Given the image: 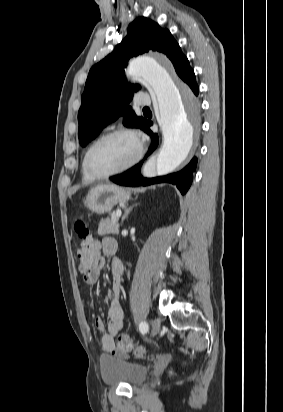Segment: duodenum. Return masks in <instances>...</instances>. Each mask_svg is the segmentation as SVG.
Returning <instances> with one entry per match:
<instances>
[{
  "instance_id": "1",
  "label": "duodenum",
  "mask_w": 283,
  "mask_h": 412,
  "mask_svg": "<svg viewBox=\"0 0 283 412\" xmlns=\"http://www.w3.org/2000/svg\"><path fill=\"white\" fill-rule=\"evenodd\" d=\"M117 247H118V245L116 246V245H113V246H111V252H116V250H117Z\"/></svg>"
}]
</instances>
